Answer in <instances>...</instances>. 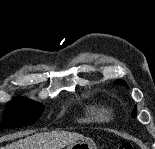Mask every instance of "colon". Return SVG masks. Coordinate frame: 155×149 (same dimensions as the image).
I'll list each match as a JSON object with an SVG mask.
<instances>
[{"instance_id":"5ec220e1","label":"colon","mask_w":155,"mask_h":149,"mask_svg":"<svg viewBox=\"0 0 155 149\" xmlns=\"http://www.w3.org/2000/svg\"><path fill=\"white\" fill-rule=\"evenodd\" d=\"M118 149H134V146L130 142H123L122 144H120Z\"/></svg>"}]
</instances>
